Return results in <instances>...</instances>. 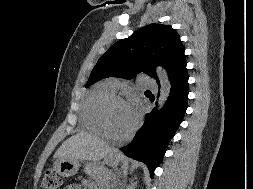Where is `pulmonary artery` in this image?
<instances>
[{
	"mask_svg": "<svg viewBox=\"0 0 253 189\" xmlns=\"http://www.w3.org/2000/svg\"><path fill=\"white\" fill-rule=\"evenodd\" d=\"M142 83L144 84V86L148 87V88H155L156 87V82L154 79L148 77V76H143L142 77ZM107 84L110 86V88L112 90H116L119 86V81L116 79H111L107 82Z\"/></svg>",
	"mask_w": 253,
	"mask_h": 189,
	"instance_id": "1",
	"label": "pulmonary artery"
}]
</instances>
